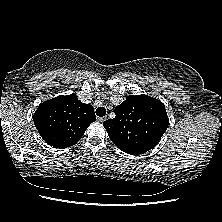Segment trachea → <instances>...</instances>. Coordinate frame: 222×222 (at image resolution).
<instances>
[{"mask_svg":"<svg viewBox=\"0 0 222 222\" xmlns=\"http://www.w3.org/2000/svg\"><path fill=\"white\" fill-rule=\"evenodd\" d=\"M106 114V109L105 107H99L96 109V115L99 117H103Z\"/></svg>","mask_w":222,"mask_h":222,"instance_id":"trachea-1","label":"trachea"}]
</instances>
